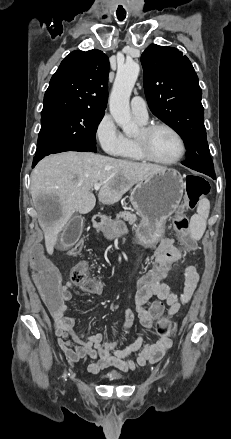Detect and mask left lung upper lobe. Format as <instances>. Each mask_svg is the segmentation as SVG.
<instances>
[{
  "mask_svg": "<svg viewBox=\"0 0 231 439\" xmlns=\"http://www.w3.org/2000/svg\"><path fill=\"white\" fill-rule=\"evenodd\" d=\"M141 63L150 110L184 140L187 158L182 164L207 175L214 174L204 126L202 91L191 62L177 48L151 44L143 52Z\"/></svg>",
  "mask_w": 231,
  "mask_h": 439,
  "instance_id": "left-lung-upper-lobe-1",
  "label": "left lung upper lobe"
}]
</instances>
